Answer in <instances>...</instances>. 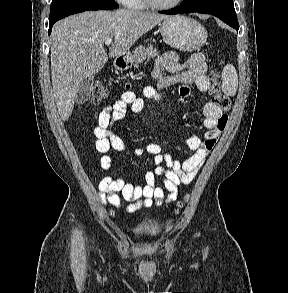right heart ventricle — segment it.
Returning a JSON list of instances; mask_svg holds the SVG:
<instances>
[{"label":"right heart ventricle","instance_id":"obj_1","mask_svg":"<svg viewBox=\"0 0 288 293\" xmlns=\"http://www.w3.org/2000/svg\"><path fill=\"white\" fill-rule=\"evenodd\" d=\"M127 6L131 9L142 10L146 7V3L144 0H130Z\"/></svg>","mask_w":288,"mask_h":293}]
</instances>
